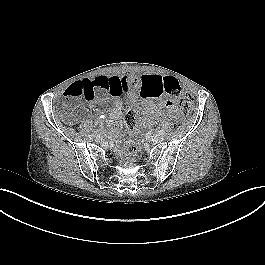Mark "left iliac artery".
Segmentation results:
<instances>
[{
	"label": "left iliac artery",
	"instance_id": "1",
	"mask_svg": "<svg viewBox=\"0 0 265 265\" xmlns=\"http://www.w3.org/2000/svg\"><path fill=\"white\" fill-rule=\"evenodd\" d=\"M158 132H159V134L162 135V136L165 135V131H164L163 129L159 130Z\"/></svg>",
	"mask_w": 265,
	"mask_h": 265
}]
</instances>
